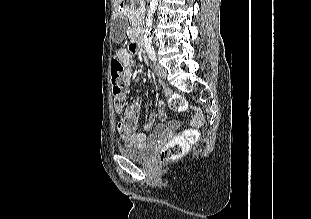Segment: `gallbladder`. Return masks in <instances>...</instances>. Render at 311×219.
<instances>
[{
    "mask_svg": "<svg viewBox=\"0 0 311 219\" xmlns=\"http://www.w3.org/2000/svg\"><path fill=\"white\" fill-rule=\"evenodd\" d=\"M126 21L119 17L115 20L111 28L112 40L116 43H120L125 37Z\"/></svg>",
    "mask_w": 311,
    "mask_h": 219,
    "instance_id": "bac80fb5",
    "label": "gallbladder"
}]
</instances>
